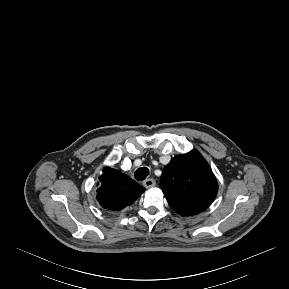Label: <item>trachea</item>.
I'll return each instance as SVG.
<instances>
[{"instance_id": "3493384b", "label": "trachea", "mask_w": 289, "mask_h": 289, "mask_svg": "<svg viewBox=\"0 0 289 289\" xmlns=\"http://www.w3.org/2000/svg\"><path fill=\"white\" fill-rule=\"evenodd\" d=\"M149 175V169L141 167L135 171L134 177L138 181H143Z\"/></svg>"}]
</instances>
